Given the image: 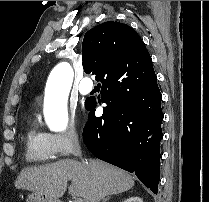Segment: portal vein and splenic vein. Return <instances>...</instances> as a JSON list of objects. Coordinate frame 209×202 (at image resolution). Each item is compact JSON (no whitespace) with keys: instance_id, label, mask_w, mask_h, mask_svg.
<instances>
[{"instance_id":"18ae733b","label":"portal vein and splenic vein","mask_w":209,"mask_h":202,"mask_svg":"<svg viewBox=\"0 0 209 202\" xmlns=\"http://www.w3.org/2000/svg\"><path fill=\"white\" fill-rule=\"evenodd\" d=\"M75 202H83V199L77 198V199L75 200Z\"/></svg>"}]
</instances>
